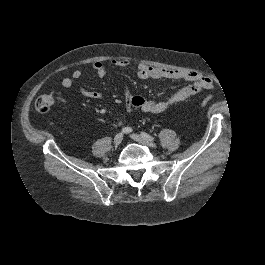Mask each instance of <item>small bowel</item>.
<instances>
[{"label":"small bowel","instance_id":"obj_1","mask_svg":"<svg viewBox=\"0 0 265 265\" xmlns=\"http://www.w3.org/2000/svg\"><path fill=\"white\" fill-rule=\"evenodd\" d=\"M111 65L114 67L135 68L137 76L140 79H173L190 82V84L184 86L167 99L161 101L147 99L141 95H133L128 90H125V104L129 111L140 109L145 113L159 114L173 105L183 102L201 91L212 87V82L208 77L193 71L157 68L130 60H115L111 62ZM92 67L99 77H104L107 73V66L101 62L93 63ZM81 74V70H74L72 77H66L62 80V86L64 88H70L73 85V80L80 78ZM80 91L83 96L89 99L100 101L105 99L102 93L89 90L85 87H81Z\"/></svg>","mask_w":265,"mask_h":265}]
</instances>
